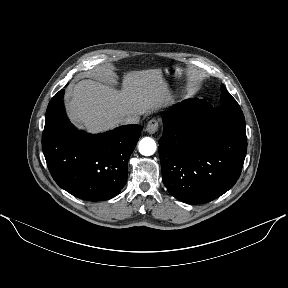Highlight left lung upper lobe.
Masks as SVG:
<instances>
[{
  "instance_id": "obj_1",
  "label": "left lung upper lobe",
  "mask_w": 288,
  "mask_h": 288,
  "mask_svg": "<svg viewBox=\"0 0 288 288\" xmlns=\"http://www.w3.org/2000/svg\"><path fill=\"white\" fill-rule=\"evenodd\" d=\"M221 91V105L220 107H215V111L220 116L228 117L245 124V118L239 104L229 94L224 85H221Z\"/></svg>"
}]
</instances>
